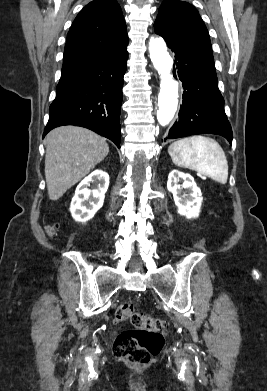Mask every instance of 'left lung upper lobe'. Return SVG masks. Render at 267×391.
<instances>
[{"mask_svg":"<svg viewBox=\"0 0 267 391\" xmlns=\"http://www.w3.org/2000/svg\"><path fill=\"white\" fill-rule=\"evenodd\" d=\"M163 38L212 55L206 26L194 6L179 0H164L154 23Z\"/></svg>","mask_w":267,"mask_h":391,"instance_id":"5c2ea615","label":"left lung upper lobe"}]
</instances>
